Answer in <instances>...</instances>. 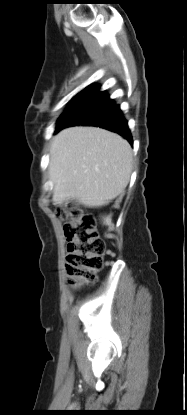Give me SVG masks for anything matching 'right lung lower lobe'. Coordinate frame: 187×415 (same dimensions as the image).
<instances>
[{
	"instance_id": "obj_1",
	"label": "right lung lower lobe",
	"mask_w": 187,
	"mask_h": 415,
	"mask_svg": "<svg viewBox=\"0 0 187 415\" xmlns=\"http://www.w3.org/2000/svg\"><path fill=\"white\" fill-rule=\"evenodd\" d=\"M75 125L101 127L123 136L133 145L127 121L119 105L100 86L90 85L75 96L58 119L56 132Z\"/></svg>"
}]
</instances>
